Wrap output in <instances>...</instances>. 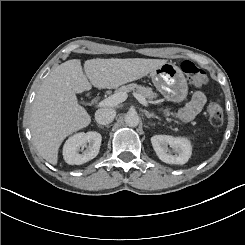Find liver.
I'll list each match as a JSON object with an SVG mask.
<instances>
[{
	"instance_id": "6515ba94",
	"label": "liver",
	"mask_w": 245,
	"mask_h": 245,
	"mask_svg": "<svg viewBox=\"0 0 245 245\" xmlns=\"http://www.w3.org/2000/svg\"><path fill=\"white\" fill-rule=\"evenodd\" d=\"M166 62L143 58L90 59L84 64L86 75L79 59L54 68L41 84L31 111L30 130L39 154L56 165L63 140L90 124L91 117L78 104L76 93L88 91L92 85L116 89L146 76Z\"/></svg>"
}]
</instances>
